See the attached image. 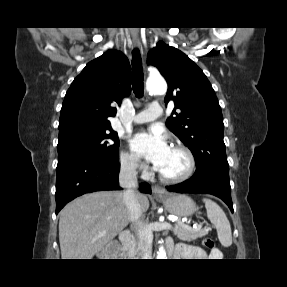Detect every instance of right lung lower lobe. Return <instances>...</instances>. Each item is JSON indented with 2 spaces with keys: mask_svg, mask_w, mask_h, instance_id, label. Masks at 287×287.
Here are the masks:
<instances>
[{
  "mask_svg": "<svg viewBox=\"0 0 287 287\" xmlns=\"http://www.w3.org/2000/svg\"><path fill=\"white\" fill-rule=\"evenodd\" d=\"M56 170V214L69 201L84 193L121 189L118 182L119 163L73 158L59 162ZM140 191L151 194V187L141 183Z\"/></svg>",
  "mask_w": 287,
  "mask_h": 287,
  "instance_id": "right-lung-lower-lobe-1",
  "label": "right lung lower lobe"
}]
</instances>
